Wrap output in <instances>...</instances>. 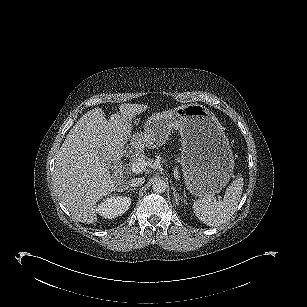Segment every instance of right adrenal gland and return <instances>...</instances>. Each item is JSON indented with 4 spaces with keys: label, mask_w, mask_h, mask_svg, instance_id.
Segmentation results:
<instances>
[{
    "label": "right adrenal gland",
    "mask_w": 307,
    "mask_h": 307,
    "mask_svg": "<svg viewBox=\"0 0 307 307\" xmlns=\"http://www.w3.org/2000/svg\"><path fill=\"white\" fill-rule=\"evenodd\" d=\"M136 188H131V189H129V190H131V191H134Z\"/></svg>",
    "instance_id": "obj_1"
}]
</instances>
